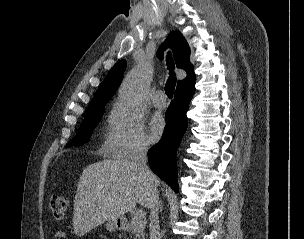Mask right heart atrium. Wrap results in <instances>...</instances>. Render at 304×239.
Returning a JSON list of instances; mask_svg holds the SVG:
<instances>
[{
    "label": "right heart atrium",
    "mask_w": 304,
    "mask_h": 239,
    "mask_svg": "<svg viewBox=\"0 0 304 239\" xmlns=\"http://www.w3.org/2000/svg\"><path fill=\"white\" fill-rule=\"evenodd\" d=\"M102 148L112 156L131 158L144 154L149 148V140L141 122L130 119L119 107H115Z\"/></svg>",
    "instance_id": "obj_1"
}]
</instances>
